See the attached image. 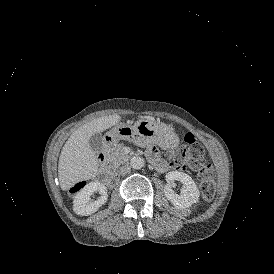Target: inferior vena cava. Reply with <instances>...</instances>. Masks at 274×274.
Instances as JSON below:
<instances>
[{"label":"inferior vena cava","mask_w":274,"mask_h":274,"mask_svg":"<svg viewBox=\"0 0 274 274\" xmlns=\"http://www.w3.org/2000/svg\"><path fill=\"white\" fill-rule=\"evenodd\" d=\"M130 171H131V167H130V165H128V164H125V165H123V166H121V167L119 168V173H120L121 175L129 174Z\"/></svg>","instance_id":"1"}]
</instances>
